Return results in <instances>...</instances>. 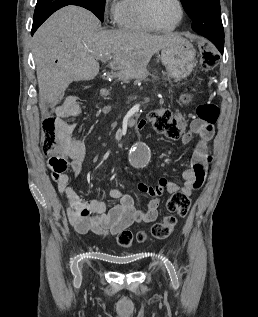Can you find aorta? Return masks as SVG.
<instances>
[{"instance_id":"762f6f07","label":"aorta","mask_w":258,"mask_h":317,"mask_svg":"<svg viewBox=\"0 0 258 317\" xmlns=\"http://www.w3.org/2000/svg\"><path fill=\"white\" fill-rule=\"evenodd\" d=\"M150 155L148 147L143 143H138L131 152V162L137 168L146 166L149 162Z\"/></svg>"}]
</instances>
